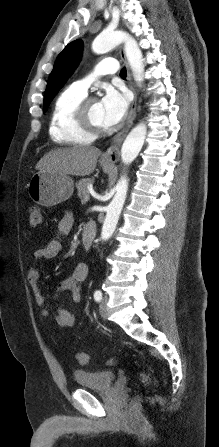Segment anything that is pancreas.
<instances>
[{
  "label": "pancreas",
  "mask_w": 219,
  "mask_h": 447,
  "mask_svg": "<svg viewBox=\"0 0 219 447\" xmlns=\"http://www.w3.org/2000/svg\"><path fill=\"white\" fill-rule=\"evenodd\" d=\"M93 182L90 178L81 179L76 183V188L78 191V196L82 199L85 195L88 194V185Z\"/></svg>",
  "instance_id": "obj_1"
}]
</instances>
